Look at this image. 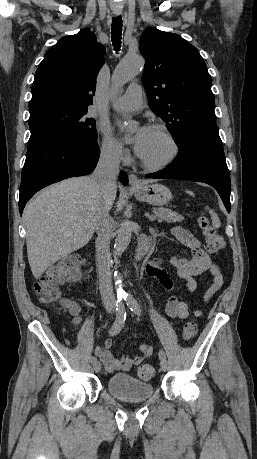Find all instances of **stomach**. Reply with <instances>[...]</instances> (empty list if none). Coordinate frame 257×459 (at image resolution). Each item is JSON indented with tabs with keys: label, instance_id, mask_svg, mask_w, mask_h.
Segmentation results:
<instances>
[{
	"label": "stomach",
	"instance_id": "1",
	"mask_svg": "<svg viewBox=\"0 0 257 459\" xmlns=\"http://www.w3.org/2000/svg\"><path fill=\"white\" fill-rule=\"evenodd\" d=\"M138 200L162 206L172 199L171 191L162 184H149L134 188Z\"/></svg>",
	"mask_w": 257,
	"mask_h": 459
}]
</instances>
